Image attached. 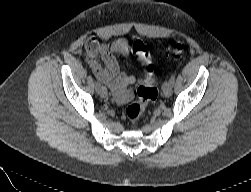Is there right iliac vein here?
<instances>
[{
    "instance_id": "obj_1",
    "label": "right iliac vein",
    "mask_w": 251,
    "mask_h": 192,
    "mask_svg": "<svg viewBox=\"0 0 251 192\" xmlns=\"http://www.w3.org/2000/svg\"><path fill=\"white\" fill-rule=\"evenodd\" d=\"M97 91L102 98H105L108 95V91L104 86H101Z\"/></svg>"
}]
</instances>
